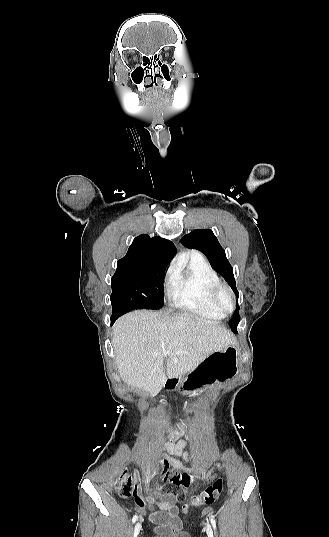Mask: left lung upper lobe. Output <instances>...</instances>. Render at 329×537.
Instances as JSON below:
<instances>
[{
    "label": "left lung upper lobe",
    "instance_id": "1",
    "mask_svg": "<svg viewBox=\"0 0 329 537\" xmlns=\"http://www.w3.org/2000/svg\"><path fill=\"white\" fill-rule=\"evenodd\" d=\"M181 243L190 249L201 251L209 260L212 268L219 273L231 286L232 290L239 296L236 282L233 275V268L226 258L225 251L219 244L217 238L210 229H196L181 238ZM240 321L239 306L234 312L229 325L234 332Z\"/></svg>",
    "mask_w": 329,
    "mask_h": 537
}]
</instances>
